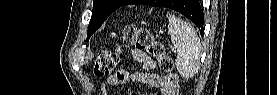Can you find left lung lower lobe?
<instances>
[{
	"mask_svg": "<svg viewBox=\"0 0 277 95\" xmlns=\"http://www.w3.org/2000/svg\"><path fill=\"white\" fill-rule=\"evenodd\" d=\"M152 0H131L128 4H145L150 5ZM173 0H161L159 7L170 8L175 11L180 12L188 19H190L194 24L203 32V13L200 8L199 0H175L172 6H169ZM180 1V2H179ZM127 4V5H128Z\"/></svg>",
	"mask_w": 277,
	"mask_h": 95,
	"instance_id": "0a47b994",
	"label": "left lung lower lobe"
}]
</instances>
